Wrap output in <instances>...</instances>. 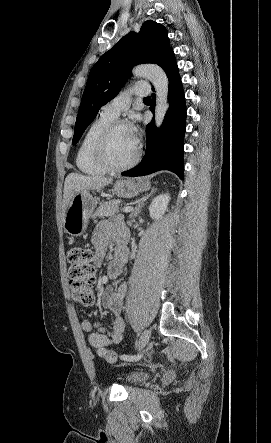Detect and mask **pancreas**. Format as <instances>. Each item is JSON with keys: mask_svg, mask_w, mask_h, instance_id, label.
Here are the masks:
<instances>
[{"mask_svg": "<svg viewBox=\"0 0 271 443\" xmlns=\"http://www.w3.org/2000/svg\"><path fill=\"white\" fill-rule=\"evenodd\" d=\"M119 200H111V202H105L101 204L98 210L94 212L92 218H108V216H115L119 212Z\"/></svg>", "mask_w": 271, "mask_h": 443, "instance_id": "pancreas-1", "label": "pancreas"}]
</instances>
